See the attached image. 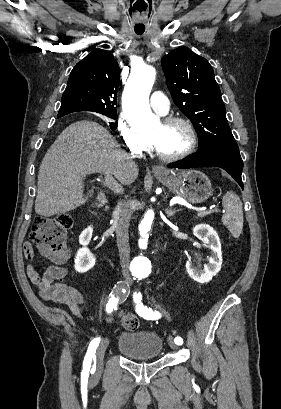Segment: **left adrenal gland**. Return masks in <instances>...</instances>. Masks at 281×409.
I'll list each match as a JSON object with an SVG mask.
<instances>
[{
  "mask_svg": "<svg viewBox=\"0 0 281 409\" xmlns=\"http://www.w3.org/2000/svg\"><path fill=\"white\" fill-rule=\"evenodd\" d=\"M175 213H177V211H167V217H173V215H175Z\"/></svg>",
  "mask_w": 281,
  "mask_h": 409,
  "instance_id": "obj_1",
  "label": "left adrenal gland"
}]
</instances>
